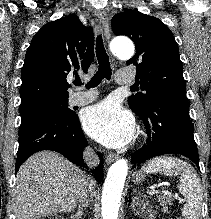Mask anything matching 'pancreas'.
Here are the masks:
<instances>
[{
  "mask_svg": "<svg viewBox=\"0 0 211 219\" xmlns=\"http://www.w3.org/2000/svg\"><path fill=\"white\" fill-rule=\"evenodd\" d=\"M158 201L160 202V205L163 207V211H167L168 210V206L167 205H171V198L166 196V195H159L158 196Z\"/></svg>",
  "mask_w": 211,
  "mask_h": 219,
  "instance_id": "1",
  "label": "pancreas"
}]
</instances>
